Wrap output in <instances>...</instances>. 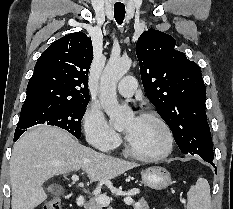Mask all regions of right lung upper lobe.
<instances>
[{
  "instance_id": "right-lung-upper-lobe-1",
  "label": "right lung upper lobe",
  "mask_w": 233,
  "mask_h": 209,
  "mask_svg": "<svg viewBox=\"0 0 233 209\" xmlns=\"http://www.w3.org/2000/svg\"><path fill=\"white\" fill-rule=\"evenodd\" d=\"M92 58V42L85 33H70L53 42L34 67L24 104L89 100Z\"/></svg>"
}]
</instances>
